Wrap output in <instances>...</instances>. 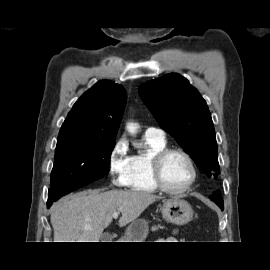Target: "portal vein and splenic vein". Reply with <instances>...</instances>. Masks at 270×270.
I'll list each match as a JSON object with an SVG mask.
<instances>
[{"mask_svg":"<svg viewBox=\"0 0 270 270\" xmlns=\"http://www.w3.org/2000/svg\"><path fill=\"white\" fill-rule=\"evenodd\" d=\"M118 216H119V212H118V211H116V212L113 213V218H114V219H117Z\"/></svg>","mask_w":270,"mask_h":270,"instance_id":"portal-vein-and-splenic-vein-1","label":"portal vein and splenic vein"}]
</instances>
